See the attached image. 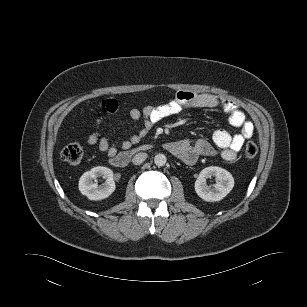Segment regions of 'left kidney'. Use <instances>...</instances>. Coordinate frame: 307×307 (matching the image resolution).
<instances>
[{
  "label": "left kidney",
  "instance_id": "5707ae66",
  "mask_svg": "<svg viewBox=\"0 0 307 307\" xmlns=\"http://www.w3.org/2000/svg\"><path fill=\"white\" fill-rule=\"evenodd\" d=\"M210 177H215L217 180L213 188H209L206 184V178ZM233 187L234 178L231 173L216 166L204 168L195 182V191L197 195L208 202L222 200Z\"/></svg>",
  "mask_w": 307,
  "mask_h": 307
}]
</instances>
